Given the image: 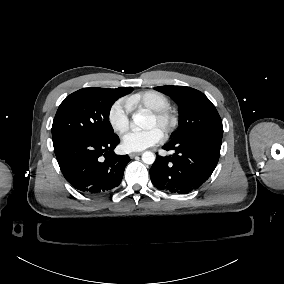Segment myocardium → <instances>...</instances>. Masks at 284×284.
Instances as JSON below:
<instances>
[{"instance_id": "f54148a6", "label": "myocardium", "mask_w": 284, "mask_h": 284, "mask_svg": "<svg viewBox=\"0 0 284 284\" xmlns=\"http://www.w3.org/2000/svg\"><path fill=\"white\" fill-rule=\"evenodd\" d=\"M159 131L163 136H168L174 126V116L169 110H159L153 112Z\"/></svg>"}]
</instances>
